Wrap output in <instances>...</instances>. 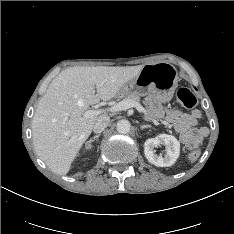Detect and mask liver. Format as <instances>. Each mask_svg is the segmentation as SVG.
Wrapping results in <instances>:
<instances>
[{"label": "liver", "instance_id": "liver-1", "mask_svg": "<svg viewBox=\"0 0 234 234\" xmlns=\"http://www.w3.org/2000/svg\"><path fill=\"white\" fill-rule=\"evenodd\" d=\"M142 67L77 66L63 70L52 80L38 103L32 132L37 155L54 173H68L91 134L98 117H85L84 113L100 100L114 98Z\"/></svg>", "mask_w": 234, "mask_h": 234}]
</instances>
